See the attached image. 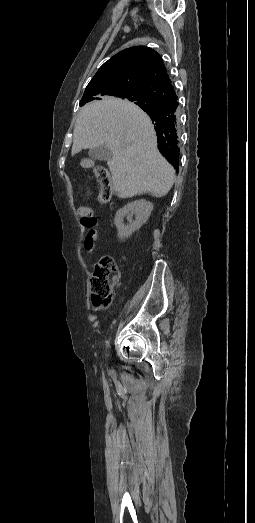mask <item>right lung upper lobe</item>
Segmentation results:
<instances>
[{"instance_id":"cb5924a9","label":"right lung upper lobe","mask_w":255,"mask_h":523,"mask_svg":"<svg viewBox=\"0 0 255 523\" xmlns=\"http://www.w3.org/2000/svg\"><path fill=\"white\" fill-rule=\"evenodd\" d=\"M136 89L153 98L150 108H143L151 118L157 135L158 149L176 169L179 166V103L160 55L145 46L125 49L105 62L86 87L80 105L100 96H114Z\"/></svg>"}]
</instances>
